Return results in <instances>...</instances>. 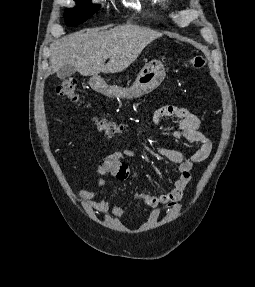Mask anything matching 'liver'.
Segmentation results:
<instances>
[{"instance_id": "obj_1", "label": "liver", "mask_w": 255, "mask_h": 287, "mask_svg": "<svg viewBox=\"0 0 255 287\" xmlns=\"http://www.w3.org/2000/svg\"><path fill=\"white\" fill-rule=\"evenodd\" d=\"M107 28L80 30L51 44L50 62L54 72L62 66H75L81 76H96L100 72L117 74L133 64L145 46L162 36L149 28L130 24ZM107 58L110 62L104 64Z\"/></svg>"}]
</instances>
